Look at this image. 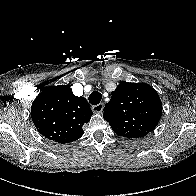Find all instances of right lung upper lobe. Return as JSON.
<instances>
[{
  "label": "right lung upper lobe",
  "mask_w": 196,
  "mask_h": 196,
  "mask_svg": "<svg viewBox=\"0 0 196 196\" xmlns=\"http://www.w3.org/2000/svg\"><path fill=\"white\" fill-rule=\"evenodd\" d=\"M92 114L87 100L75 96L69 85L43 90L31 107V117L38 132L61 144L79 139L83 135L82 126Z\"/></svg>",
  "instance_id": "cb5924a9"
}]
</instances>
